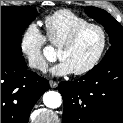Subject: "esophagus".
I'll return each instance as SVG.
<instances>
[{"instance_id": "esophagus-1", "label": "esophagus", "mask_w": 123, "mask_h": 123, "mask_svg": "<svg viewBox=\"0 0 123 123\" xmlns=\"http://www.w3.org/2000/svg\"><path fill=\"white\" fill-rule=\"evenodd\" d=\"M49 85L51 88H56L58 86V83L56 81L50 80Z\"/></svg>"}]
</instances>
